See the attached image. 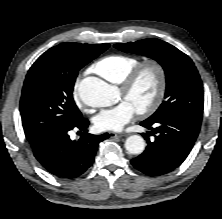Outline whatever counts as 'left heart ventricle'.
<instances>
[{"label":"left heart ventricle","instance_id":"left-heart-ventricle-1","mask_svg":"<svg viewBox=\"0 0 222 219\" xmlns=\"http://www.w3.org/2000/svg\"><path fill=\"white\" fill-rule=\"evenodd\" d=\"M155 89L156 77L150 69H147L140 75L131 92L126 96L122 95V98L128 101L135 109L141 108L151 101Z\"/></svg>","mask_w":222,"mask_h":219}]
</instances>
